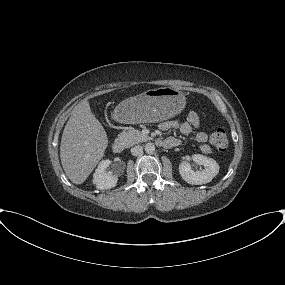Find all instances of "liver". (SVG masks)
Segmentation results:
<instances>
[{
  "label": "liver",
  "instance_id": "obj_1",
  "mask_svg": "<svg viewBox=\"0 0 285 285\" xmlns=\"http://www.w3.org/2000/svg\"><path fill=\"white\" fill-rule=\"evenodd\" d=\"M108 146L105 129L91 111L87 100L81 101L65 125L60 159L67 177L82 184L96 167Z\"/></svg>",
  "mask_w": 285,
  "mask_h": 285
}]
</instances>
